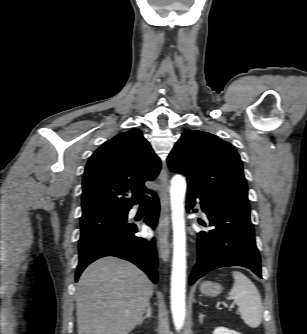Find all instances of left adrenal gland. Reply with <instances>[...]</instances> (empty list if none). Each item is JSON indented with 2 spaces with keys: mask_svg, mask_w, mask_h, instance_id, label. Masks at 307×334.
<instances>
[{
  "mask_svg": "<svg viewBox=\"0 0 307 334\" xmlns=\"http://www.w3.org/2000/svg\"><path fill=\"white\" fill-rule=\"evenodd\" d=\"M205 317V315L203 313L199 314V322L203 323V318Z\"/></svg>",
  "mask_w": 307,
  "mask_h": 334,
  "instance_id": "a2214340",
  "label": "left adrenal gland"
}]
</instances>
